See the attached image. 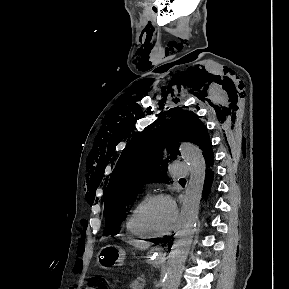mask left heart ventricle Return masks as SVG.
<instances>
[{
  "instance_id": "b2bd125f",
  "label": "left heart ventricle",
  "mask_w": 289,
  "mask_h": 289,
  "mask_svg": "<svg viewBox=\"0 0 289 289\" xmlns=\"http://www.w3.org/2000/svg\"><path fill=\"white\" fill-rule=\"evenodd\" d=\"M174 219V211L167 200L154 202L147 210L145 220L148 226L158 232L167 230Z\"/></svg>"
}]
</instances>
